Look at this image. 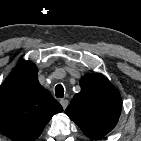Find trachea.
Instances as JSON below:
<instances>
[{
  "label": "trachea",
  "instance_id": "1",
  "mask_svg": "<svg viewBox=\"0 0 141 141\" xmlns=\"http://www.w3.org/2000/svg\"><path fill=\"white\" fill-rule=\"evenodd\" d=\"M55 95L57 98H63L64 97V88L61 84H58L55 87Z\"/></svg>",
  "mask_w": 141,
  "mask_h": 141
}]
</instances>
